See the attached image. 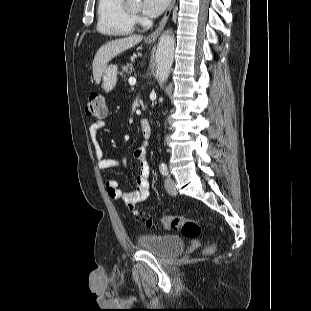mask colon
I'll use <instances>...</instances> for the list:
<instances>
[{"instance_id": "obj_1", "label": "colon", "mask_w": 311, "mask_h": 311, "mask_svg": "<svg viewBox=\"0 0 311 311\" xmlns=\"http://www.w3.org/2000/svg\"><path fill=\"white\" fill-rule=\"evenodd\" d=\"M85 113L90 118L103 119L106 116V103L104 96L99 92H92L85 106ZM135 216L148 228H154L156 222L153 218L134 212ZM162 226L166 230L178 231L184 237L194 239L201 234V227L195 220L187 216H169L162 220ZM212 246L206 248L211 252Z\"/></svg>"}]
</instances>
